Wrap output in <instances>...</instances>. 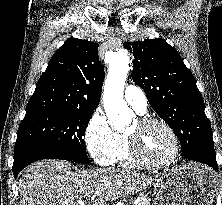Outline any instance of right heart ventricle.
Instances as JSON below:
<instances>
[{"instance_id":"right-heart-ventricle-1","label":"right heart ventricle","mask_w":222,"mask_h":205,"mask_svg":"<svg viewBox=\"0 0 222 205\" xmlns=\"http://www.w3.org/2000/svg\"><path fill=\"white\" fill-rule=\"evenodd\" d=\"M108 165H120L129 167H140L139 164L131 155L129 141L126 134H119L118 144L113 153Z\"/></svg>"}]
</instances>
